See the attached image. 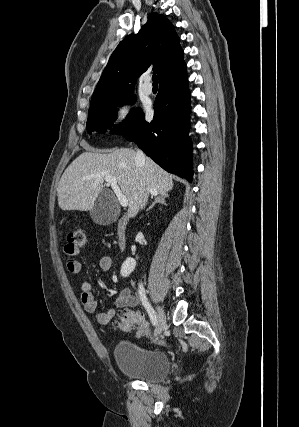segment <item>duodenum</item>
Here are the masks:
<instances>
[{"label": "duodenum", "instance_id": "410a0bca", "mask_svg": "<svg viewBox=\"0 0 299 427\" xmlns=\"http://www.w3.org/2000/svg\"><path fill=\"white\" fill-rule=\"evenodd\" d=\"M127 227H128V216L125 214L120 218L117 225V244L119 249L121 250H124L127 245V240H128Z\"/></svg>", "mask_w": 299, "mask_h": 427}]
</instances>
